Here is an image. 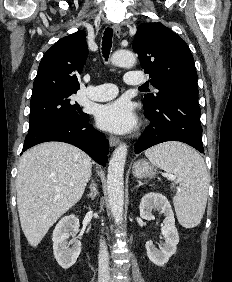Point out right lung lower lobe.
Here are the masks:
<instances>
[{"label":"right lung lower lobe","mask_w":232,"mask_h":282,"mask_svg":"<svg viewBox=\"0 0 232 282\" xmlns=\"http://www.w3.org/2000/svg\"><path fill=\"white\" fill-rule=\"evenodd\" d=\"M89 115L81 119L62 118L35 130H29L25 137L23 151L48 141L72 144L86 152L94 161L106 166L109 152L105 135L89 123Z\"/></svg>","instance_id":"right-lung-lower-lobe-1"}]
</instances>
